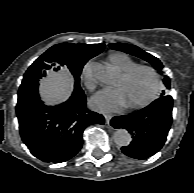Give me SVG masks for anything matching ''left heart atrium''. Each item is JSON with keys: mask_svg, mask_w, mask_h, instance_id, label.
Listing matches in <instances>:
<instances>
[{"mask_svg": "<svg viewBox=\"0 0 194 193\" xmlns=\"http://www.w3.org/2000/svg\"><path fill=\"white\" fill-rule=\"evenodd\" d=\"M91 105L94 109L101 112H116L126 106L122 90L119 88L105 89L96 94Z\"/></svg>", "mask_w": 194, "mask_h": 193, "instance_id": "1", "label": "left heart atrium"}]
</instances>
